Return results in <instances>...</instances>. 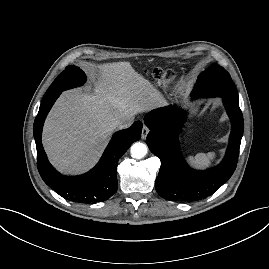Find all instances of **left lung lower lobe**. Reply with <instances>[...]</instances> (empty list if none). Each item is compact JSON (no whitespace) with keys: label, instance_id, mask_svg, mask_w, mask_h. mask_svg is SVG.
Wrapping results in <instances>:
<instances>
[{"label":"left lung lower lobe","instance_id":"0a47b994","mask_svg":"<svg viewBox=\"0 0 269 269\" xmlns=\"http://www.w3.org/2000/svg\"><path fill=\"white\" fill-rule=\"evenodd\" d=\"M193 95L196 96L194 89ZM222 98L232 123L229 145L223 161L205 171L190 169L180 152L177 133L185 121L180 109L165 107L146 114L144 122L150 129L146 143L161 161L155 187L164 199L187 202L204 199L232 176L238 161L244 122L239 101Z\"/></svg>","mask_w":269,"mask_h":269}]
</instances>
